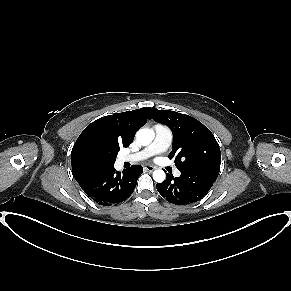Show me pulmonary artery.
Wrapping results in <instances>:
<instances>
[{
    "mask_svg": "<svg viewBox=\"0 0 291 291\" xmlns=\"http://www.w3.org/2000/svg\"><path fill=\"white\" fill-rule=\"evenodd\" d=\"M172 134L168 127L163 125H156L154 127V140L153 142L144 148L143 150L130 154L121 156V162H138L145 160L155 154L164 152L171 144ZM175 177L181 175L179 170L174 171Z\"/></svg>",
    "mask_w": 291,
    "mask_h": 291,
    "instance_id": "pulmonary-artery-1",
    "label": "pulmonary artery"
}]
</instances>
